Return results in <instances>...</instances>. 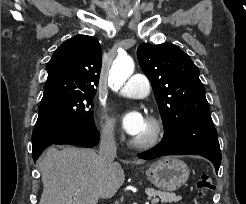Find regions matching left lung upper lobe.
Here are the masks:
<instances>
[{
	"label": "left lung upper lobe",
	"mask_w": 246,
	"mask_h": 204,
	"mask_svg": "<svg viewBox=\"0 0 246 204\" xmlns=\"http://www.w3.org/2000/svg\"><path fill=\"white\" fill-rule=\"evenodd\" d=\"M137 56L155 92L164 131L182 121L210 117L199 69L179 47L144 43Z\"/></svg>",
	"instance_id": "5c2ea615"
}]
</instances>
